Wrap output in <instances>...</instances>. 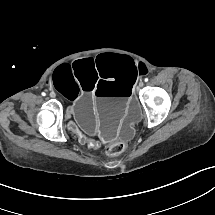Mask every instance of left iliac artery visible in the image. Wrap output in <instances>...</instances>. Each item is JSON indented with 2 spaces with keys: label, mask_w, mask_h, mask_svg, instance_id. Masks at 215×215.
Returning a JSON list of instances; mask_svg holds the SVG:
<instances>
[{
  "label": "left iliac artery",
  "mask_w": 215,
  "mask_h": 215,
  "mask_svg": "<svg viewBox=\"0 0 215 215\" xmlns=\"http://www.w3.org/2000/svg\"><path fill=\"white\" fill-rule=\"evenodd\" d=\"M148 81V78H145V82H147Z\"/></svg>",
  "instance_id": "obj_1"
}]
</instances>
